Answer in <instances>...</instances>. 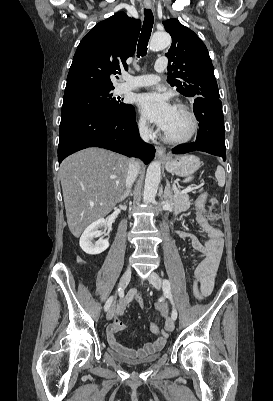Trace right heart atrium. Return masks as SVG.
<instances>
[{
    "label": "right heart atrium",
    "instance_id": "1",
    "mask_svg": "<svg viewBox=\"0 0 273 401\" xmlns=\"http://www.w3.org/2000/svg\"><path fill=\"white\" fill-rule=\"evenodd\" d=\"M137 128L143 136L149 137L153 134V129H152L151 125L142 118H140L138 120Z\"/></svg>",
    "mask_w": 273,
    "mask_h": 401
}]
</instances>
